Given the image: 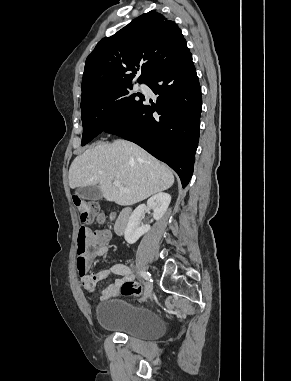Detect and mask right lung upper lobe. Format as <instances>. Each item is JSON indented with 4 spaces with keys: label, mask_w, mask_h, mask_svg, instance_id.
Returning <instances> with one entry per match:
<instances>
[{
    "label": "right lung upper lobe",
    "mask_w": 291,
    "mask_h": 381,
    "mask_svg": "<svg viewBox=\"0 0 291 381\" xmlns=\"http://www.w3.org/2000/svg\"><path fill=\"white\" fill-rule=\"evenodd\" d=\"M178 25L152 10L134 19L111 37L103 38L87 57L81 105L113 88L147 82L185 48Z\"/></svg>",
    "instance_id": "obj_1"
}]
</instances>
